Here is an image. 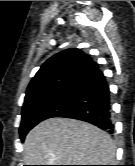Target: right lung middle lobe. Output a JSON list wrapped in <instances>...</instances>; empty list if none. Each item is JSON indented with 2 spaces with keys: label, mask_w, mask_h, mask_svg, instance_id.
Masks as SVG:
<instances>
[{
  "label": "right lung middle lobe",
  "mask_w": 135,
  "mask_h": 166,
  "mask_svg": "<svg viewBox=\"0 0 135 166\" xmlns=\"http://www.w3.org/2000/svg\"><path fill=\"white\" fill-rule=\"evenodd\" d=\"M71 98L72 94L69 86H63L35 100L24 103L19 129L21 140L23 141L28 131L39 122L56 117L64 111Z\"/></svg>",
  "instance_id": "obj_1"
}]
</instances>
